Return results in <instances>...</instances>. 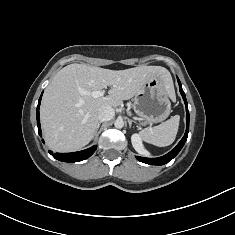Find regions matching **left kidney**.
<instances>
[{"label":"left kidney","instance_id":"left-kidney-1","mask_svg":"<svg viewBox=\"0 0 235 235\" xmlns=\"http://www.w3.org/2000/svg\"><path fill=\"white\" fill-rule=\"evenodd\" d=\"M131 142H132V145H133L134 149L139 154H142V155H148L149 154L148 151L143 146L142 138L139 134H133L131 136Z\"/></svg>","mask_w":235,"mask_h":235}]
</instances>
